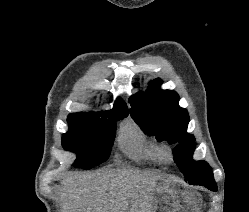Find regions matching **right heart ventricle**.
Returning <instances> with one entry per match:
<instances>
[{"mask_svg": "<svg viewBox=\"0 0 249 212\" xmlns=\"http://www.w3.org/2000/svg\"><path fill=\"white\" fill-rule=\"evenodd\" d=\"M116 143L125 156L136 162L151 166H166L170 162L163 145L148 136L132 120L122 123Z\"/></svg>", "mask_w": 249, "mask_h": 212, "instance_id": "1", "label": "right heart ventricle"}]
</instances>
